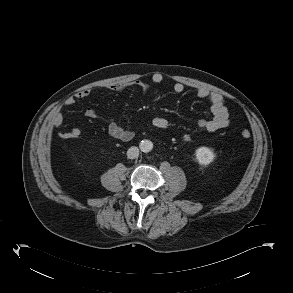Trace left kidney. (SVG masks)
Wrapping results in <instances>:
<instances>
[{"label":"left kidney","instance_id":"1","mask_svg":"<svg viewBox=\"0 0 293 293\" xmlns=\"http://www.w3.org/2000/svg\"><path fill=\"white\" fill-rule=\"evenodd\" d=\"M195 156L200 165L208 166L213 162L215 158V153L211 148L208 147H199L195 151Z\"/></svg>","mask_w":293,"mask_h":293}]
</instances>
